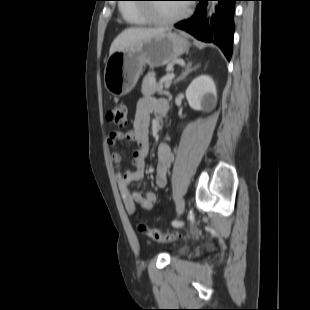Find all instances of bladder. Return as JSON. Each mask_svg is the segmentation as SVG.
Wrapping results in <instances>:
<instances>
[{
	"label": "bladder",
	"mask_w": 310,
	"mask_h": 310,
	"mask_svg": "<svg viewBox=\"0 0 310 310\" xmlns=\"http://www.w3.org/2000/svg\"><path fill=\"white\" fill-rule=\"evenodd\" d=\"M185 250H186V247H185V246L179 247V252H184Z\"/></svg>",
	"instance_id": "bladder-1"
}]
</instances>
